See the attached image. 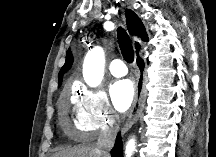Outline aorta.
<instances>
[{
    "mask_svg": "<svg viewBox=\"0 0 216 157\" xmlns=\"http://www.w3.org/2000/svg\"><path fill=\"white\" fill-rule=\"evenodd\" d=\"M105 52L102 47L91 49L84 60L83 77L87 85L97 87L104 76ZM135 151V140L130 139L126 145L125 155L131 157Z\"/></svg>",
    "mask_w": 216,
    "mask_h": 157,
    "instance_id": "aorta-1",
    "label": "aorta"
}]
</instances>
